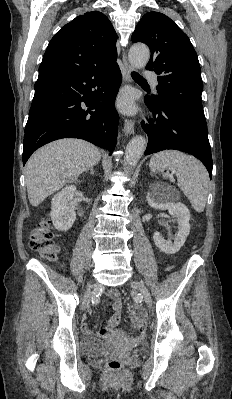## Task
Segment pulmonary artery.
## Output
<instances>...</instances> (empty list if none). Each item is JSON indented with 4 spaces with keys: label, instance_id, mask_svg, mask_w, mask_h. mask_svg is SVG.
<instances>
[{
    "label": "pulmonary artery",
    "instance_id": "obj_1",
    "mask_svg": "<svg viewBox=\"0 0 232 399\" xmlns=\"http://www.w3.org/2000/svg\"><path fill=\"white\" fill-rule=\"evenodd\" d=\"M145 78H146V80H152V83H153L154 85L157 84V79L154 78L153 71H152L151 69H148V70L146 71Z\"/></svg>",
    "mask_w": 232,
    "mask_h": 399
}]
</instances>
